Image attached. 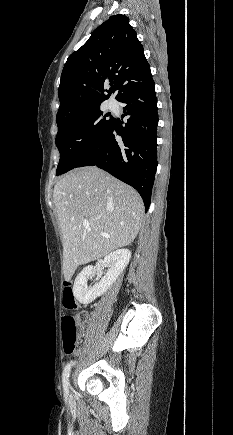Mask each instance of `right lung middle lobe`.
I'll return each instance as SVG.
<instances>
[{
  "label": "right lung middle lobe",
  "instance_id": "right-lung-middle-lobe-1",
  "mask_svg": "<svg viewBox=\"0 0 233 435\" xmlns=\"http://www.w3.org/2000/svg\"><path fill=\"white\" fill-rule=\"evenodd\" d=\"M102 114L97 107L76 116L57 120L58 133L55 143L60 152L57 175L75 168L106 135L114 118Z\"/></svg>",
  "mask_w": 233,
  "mask_h": 435
}]
</instances>
